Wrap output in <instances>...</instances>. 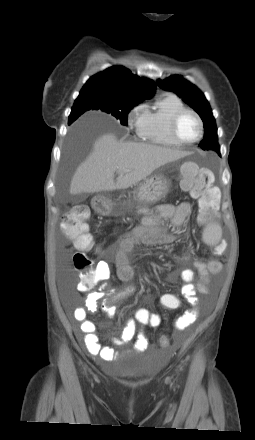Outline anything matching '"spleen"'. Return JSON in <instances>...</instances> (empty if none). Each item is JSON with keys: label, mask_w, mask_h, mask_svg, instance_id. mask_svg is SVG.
I'll return each mask as SVG.
<instances>
[{"label": "spleen", "mask_w": 255, "mask_h": 440, "mask_svg": "<svg viewBox=\"0 0 255 440\" xmlns=\"http://www.w3.org/2000/svg\"><path fill=\"white\" fill-rule=\"evenodd\" d=\"M222 236L221 227L218 224L210 223L203 230L202 239L207 245H216Z\"/></svg>", "instance_id": "3e777b00"}]
</instances>
